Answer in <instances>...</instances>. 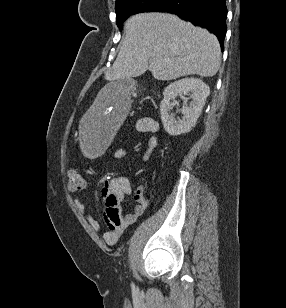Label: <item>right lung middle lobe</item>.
<instances>
[{"instance_id": "dd1d6c3e", "label": "right lung middle lobe", "mask_w": 286, "mask_h": 308, "mask_svg": "<svg viewBox=\"0 0 286 308\" xmlns=\"http://www.w3.org/2000/svg\"><path fill=\"white\" fill-rule=\"evenodd\" d=\"M168 0H120L116 3V22L121 30L123 22L131 15L151 12Z\"/></svg>"}]
</instances>
